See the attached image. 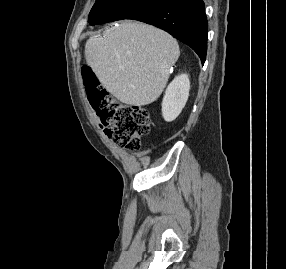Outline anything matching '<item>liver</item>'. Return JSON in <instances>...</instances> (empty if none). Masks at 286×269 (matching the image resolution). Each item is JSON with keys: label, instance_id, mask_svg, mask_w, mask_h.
I'll list each match as a JSON object with an SVG mask.
<instances>
[{"label": "liver", "instance_id": "obj_1", "mask_svg": "<svg viewBox=\"0 0 286 269\" xmlns=\"http://www.w3.org/2000/svg\"><path fill=\"white\" fill-rule=\"evenodd\" d=\"M180 55L177 41L151 25L123 21L90 37L86 63L103 87L122 103L144 106L156 101Z\"/></svg>", "mask_w": 286, "mask_h": 269}]
</instances>
